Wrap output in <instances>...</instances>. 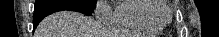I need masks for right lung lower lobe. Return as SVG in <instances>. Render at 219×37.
<instances>
[{
  "instance_id": "98d812e1",
  "label": "right lung lower lobe",
  "mask_w": 219,
  "mask_h": 37,
  "mask_svg": "<svg viewBox=\"0 0 219 37\" xmlns=\"http://www.w3.org/2000/svg\"><path fill=\"white\" fill-rule=\"evenodd\" d=\"M62 10H71V11H77L84 13L86 15H91L92 13L81 8L78 5L68 3V2H54L51 4H47L40 7H35L34 10V17H33V24L34 29L37 27V25L40 23V21L45 18L46 16Z\"/></svg>"
}]
</instances>
